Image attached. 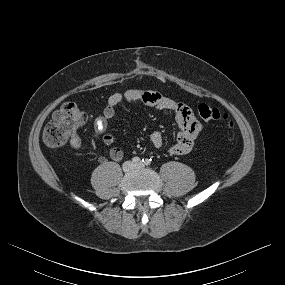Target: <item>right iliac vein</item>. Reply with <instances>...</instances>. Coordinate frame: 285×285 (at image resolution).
<instances>
[{
  "label": "right iliac vein",
  "mask_w": 285,
  "mask_h": 285,
  "mask_svg": "<svg viewBox=\"0 0 285 285\" xmlns=\"http://www.w3.org/2000/svg\"><path fill=\"white\" fill-rule=\"evenodd\" d=\"M122 168H123V171H124V172H128V171H130V170H132V169L134 168V165H133L132 162L127 161V162H125V163L123 164Z\"/></svg>",
  "instance_id": "63e3f726"
}]
</instances>
